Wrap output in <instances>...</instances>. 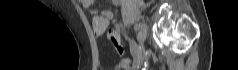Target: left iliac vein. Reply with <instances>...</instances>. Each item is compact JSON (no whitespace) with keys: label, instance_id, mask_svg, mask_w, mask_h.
<instances>
[{"label":"left iliac vein","instance_id":"left-iliac-vein-1","mask_svg":"<svg viewBox=\"0 0 238 70\" xmlns=\"http://www.w3.org/2000/svg\"><path fill=\"white\" fill-rule=\"evenodd\" d=\"M147 31H148V27H147L146 23H143L140 27L139 32H138V36H137L138 46L137 47H140L144 43V41L147 37Z\"/></svg>","mask_w":238,"mask_h":70}]
</instances>
